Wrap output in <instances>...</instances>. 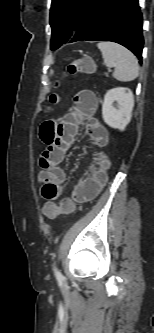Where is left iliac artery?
Listing matches in <instances>:
<instances>
[{"mask_svg": "<svg viewBox=\"0 0 154 333\" xmlns=\"http://www.w3.org/2000/svg\"><path fill=\"white\" fill-rule=\"evenodd\" d=\"M54 273H55V276L58 280H63L64 277L63 275L61 274V272L54 266Z\"/></svg>", "mask_w": 154, "mask_h": 333, "instance_id": "left-iliac-artery-1", "label": "left iliac artery"}]
</instances>
